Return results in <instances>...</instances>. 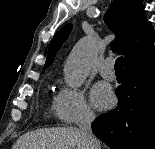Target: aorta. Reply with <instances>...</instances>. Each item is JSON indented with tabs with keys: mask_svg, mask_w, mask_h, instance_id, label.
<instances>
[{
	"mask_svg": "<svg viewBox=\"0 0 155 149\" xmlns=\"http://www.w3.org/2000/svg\"><path fill=\"white\" fill-rule=\"evenodd\" d=\"M95 55L96 45L92 38L77 42L64 66L65 79L71 87L78 88L84 83Z\"/></svg>",
	"mask_w": 155,
	"mask_h": 149,
	"instance_id": "1",
	"label": "aorta"
}]
</instances>
